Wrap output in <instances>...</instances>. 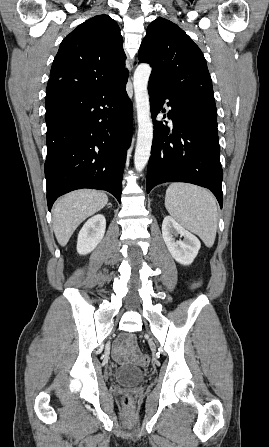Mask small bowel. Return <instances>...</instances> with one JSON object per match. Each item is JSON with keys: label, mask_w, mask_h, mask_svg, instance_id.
I'll list each match as a JSON object with an SVG mask.
<instances>
[{"label": "small bowel", "mask_w": 269, "mask_h": 447, "mask_svg": "<svg viewBox=\"0 0 269 447\" xmlns=\"http://www.w3.org/2000/svg\"><path fill=\"white\" fill-rule=\"evenodd\" d=\"M137 337L135 331L121 333L119 341L112 347V356L117 363L125 364L140 359L141 354L135 350L133 343L127 342V339L135 340Z\"/></svg>", "instance_id": "1"}]
</instances>
